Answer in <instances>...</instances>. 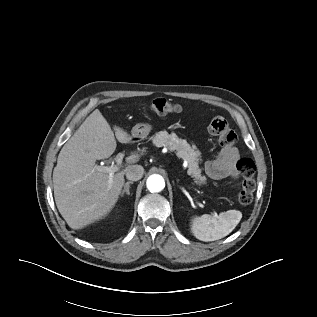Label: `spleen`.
I'll return each instance as SVG.
<instances>
[{
	"label": "spleen",
	"mask_w": 317,
	"mask_h": 317,
	"mask_svg": "<svg viewBox=\"0 0 317 317\" xmlns=\"http://www.w3.org/2000/svg\"><path fill=\"white\" fill-rule=\"evenodd\" d=\"M242 213L238 210L221 212L217 217L204 214L192 219L193 235L204 242L215 241L230 234L239 224Z\"/></svg>",
	"instance_id": "1"
}]
</instances>
